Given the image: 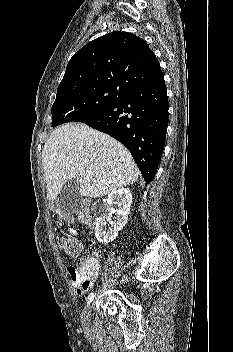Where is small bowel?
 Wrapping results in <instances>:
<instances>
[{"mask_svg":"<svg viewBox=\"0 0 233 352\" xmlns=\"http://www.w3.org/2000/svg\"><path fill=\"white\" fill-rule=\"evenodd\" d=\"M66 230L72 236L77 237L79 235L78 231L71 226H68L66 228ZM84 261L95 262L98 266V271L87 279H83V278H80L75 275V272H74L75 266L72 262L68 263V265H67V271L70 275L71 284L74 287V289L78 295H83L84 293L88 292L93 287L94 282L96 281V279L98 278V276L100 274V264H99V259L97 256H95V257L94 256H86L84 258Z\"/></svg>","mask_w":233,"mask_h":352,"instance_id":"small-bowel-1","label":"small bowel"}]
</instances>
